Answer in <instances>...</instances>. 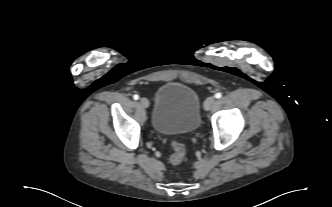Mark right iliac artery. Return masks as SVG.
Instances as JSON below:
<instances>
[{
    "mask_svg": "<svg viewBox=\"0 0 332 207\" xmlns=\"http://www.w3.org/2000/svg\"><path fill=\"white\" fill-rule=\"evenodd\" d=\"M133 99H134V100H138V99H139V96L136 94V95L133 96Z\"/></svg>",
    "mask_w": 332,
    "mask_h": 207,
    "instance_id": "right-iliac-artery-1",
    "label": "right iliac artery"
}]
</instances>
